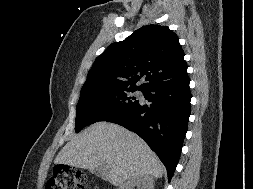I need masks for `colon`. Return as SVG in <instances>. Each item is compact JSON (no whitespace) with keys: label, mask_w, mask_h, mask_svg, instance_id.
I'll return each mask as SVG.
<instances>
[{"label":"colon","mask_w":253,"mask_h":189,"mask_svg":"<svg viewBox=\"0 0 253 189\" xmlns=\"http://www.w3.org/2000/svg\"><path fill=\"white\" fill-rule=\"evenodd\" d=\"M86 175L69 166H57L45 189H85Z\"/></svg>","instance_id":"5ec220e1"}]
</instances>
